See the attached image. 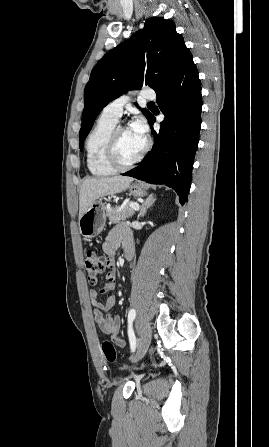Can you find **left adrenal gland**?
I'll use <instances>...</instances> for the list:
<instances>
[{"label": "left adrenal gland", "mask_w": 269, "mask_h": 447, "mask_svg": "<svg viewBox=\"0 0 269 447\" xmlns=\"http://www.w3.org/2000/svg\"><path fill=\"white\" fill-rule=\"evenodd\" d=\"M156 198H155V194H150V196H148V198H146L144 204H142L141 208H140V212L138 214V218H144L148 208H150V206H152V204H154Z\"/></svg>", "instance_id": "left-adrenal-gland-1"}]
</instances>
